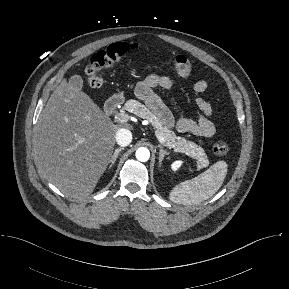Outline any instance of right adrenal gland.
<instances>
[{"label": "right adrenal gland", "instance_id": "1", "mask_svg": "<svg viewBox=\"0 0 289 289\" xmlns=\"http://www.w3.org/2000/svg\"><path fill=\"white\" fill-rule=\"evenodd\" d=\"M122 150H124V148L122 147V148H117V149H115V151H114V153H113V155H112V157H111V160H110V166H109V169H111L112 167H113V165L115 164V162H116V160H117V158H118V156H119V153L122 151Z\"/></svg>", "mask_w": 289, "mask_h": 289}]
</instances>
